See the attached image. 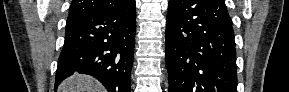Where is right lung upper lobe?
I'll return each mask as SVG.
<instances>
[{"label": "right lung upper lobe", "mask_w": 289, "mask_h": 92, "mask_svg": "<svg viewBox=\"0 0 289 92\" xmlns=\"http://www.w3.org/2000/svg\"><path fill=\"white\" fill-rule=\"evenodd\" d=\"M128 0H73L69 8L68 21L86 15L107 11L123 5Z\"/></svg>", "instance_id": "obj_1"}]
</instances>
